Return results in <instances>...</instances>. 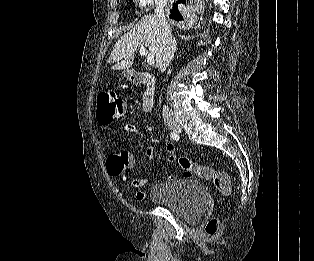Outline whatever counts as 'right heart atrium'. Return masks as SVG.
I'll return each mask as SVG.
<instances>
[{"mask_svg": "<svg viewBox=\"0 0 314 261\" xmlns=\"http://www.w3.org/2000/svg\"><path fill=\"white\" fill-rule=\"evenodd\" d=\"M157 0H135L136 5L142 10H148Z\"/></svg>", "mask_w": 314, "mask_h": 261, "instance_id": "1", "label": "right heart atrium"}]
</instances>
